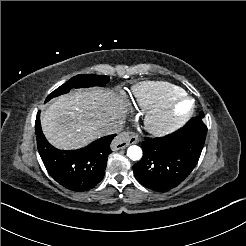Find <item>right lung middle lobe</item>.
Returning <instances> with one entry per match:
<instances>
[{
    "label": "right lung middle lobe",
    "instance_id": "right-lung-middle-lobe-1",
    "mask_svg": "<svg viewBox=\"0 0 246 246\" xmlns=\"http://www.w3.org/2000/svg\"><path fill=\"white\" fill-rule=\"evenodd\" d=\"M109 77L105 75H77L68 80L48 95L45 102L61 94L68 93L71 88H87L93 86L104 87L109 82Z\"/></svg>",
    "mask_w": 246,
    "mask_h": 246
}]
</instances>
